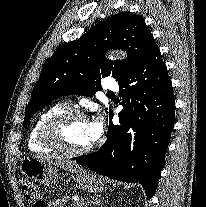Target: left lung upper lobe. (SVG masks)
I'll list each match as a JSON object with an SVG mask.
<instances>
[{"label":"left lung upper lobe","mask_w":206,"mask_h":207,"mask_svg":"<svg viewBox=\"0 0 206 207\" xmlns=\"http://www.w3.org/2000/svg\"><path fill=\"white\" fill-rule=\"evenodd\" d=\"M155 44L142 16L126 11L99 22L78 40L59 47L46 60L25 109L23 125L59 96H92L101 89V79L108 76L119 83ZM108 49H122L128 53V59L109 61L104 58ZM111 114L110 110L109 117Z\"/></svg>","instance_id":"obj_1"}]
</instances>
